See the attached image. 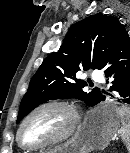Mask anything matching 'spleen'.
<instances>
[{"label": "spleen", "mask_w": 130, "mask_h": 153, "mask_svg": "<svg viewBox=\"0 0 130 153\" xmlns=\"http://www.w3.org/2000/svg\"><path fill=\"white\" fill-rule=\"evenodd\" d=\"M117 112L122 124L120 135L130 153V109L126 107H118Z\"/></svg>", "instance_id": "obj_1"}]
</instances>
